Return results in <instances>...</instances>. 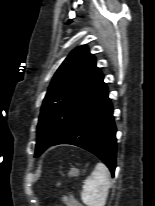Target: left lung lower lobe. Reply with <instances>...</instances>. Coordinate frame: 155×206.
I'll return each instance as SVG.
<instances>
[{"instance_id":"left-lung-lower-lobe-1","label":"left lung lower lobe","mask_w":155,"mask_h":206,"mask_svg":"<svg viewBox=\"0 0 155 206\" xmlns=\"http://www.w3.org/2000/svg\"><path fill=\"white\" fill-rule=\"evenodd\" d=\"M116 127L108 90L92 103L72 128L52 146L70 144L86 149L98 156L110 169L116 168Z\"/></svg>"}]
</instances>
